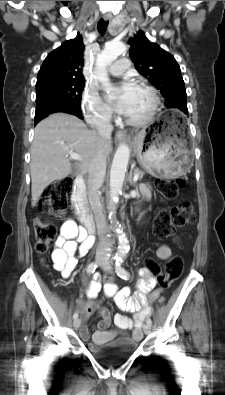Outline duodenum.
<instances>
[{
  "label": "duodenum",
  "instance_id": "1",
  "mask_svg": "<svg viewBox=\"0 0 225 395\" xmlns=\"http://www.w3.org/2000/svg\"><path fill=\"white\" fill-rule=\"evenodd\" d=\"M85 180L82 176H78L75 179L74 190L72 194V204L75 207L76 213L79 217L80 222L83 224L89 234L94 233L95 226L91 213L89 212L86 204V193H85Z\"/></svg>",
  "mask_w": 225,
  "mask_h": 395
}]
</instances>
